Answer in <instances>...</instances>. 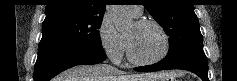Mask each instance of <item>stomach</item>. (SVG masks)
I'll return each mask as SVG.
<instances>
[{"mask_svg": "<svg viewBox=\"0 0 237 81\" xmlns=\"http://www.w3.org/2000/svg\"><path fill=\"white\" fill-rule=\"evenodd\" d=\"M151 81H174L172 77H158V78H155Z\"/></svg>", "mask_w": 237, "mask_h": 81, "instance_id": "1", "label": "stomach"}]
</instances>
